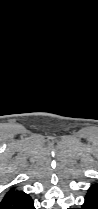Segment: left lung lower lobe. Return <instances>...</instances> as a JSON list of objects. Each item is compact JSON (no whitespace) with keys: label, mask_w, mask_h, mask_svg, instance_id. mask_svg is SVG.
Masks as SVG:
<instances>
[{"label":"left lung lower lobe","mask_w":98,"mask_h":209,"mask_svg":"<svg viewBox=\"0 0 98 209\" xmlns=\"http://www.w3.org/2000/svg\"><path fill=\"white\" fill-rule=\"evenodd\" d=\"M81 209H98V186L96 184L89 188Z\"/></svg>","instance_id":"left-lung-lower-lobe-1"}]
</instances>
